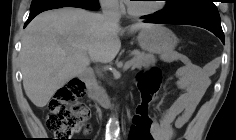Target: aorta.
Segmentation results:
<instances>
[{"instance_id": "aorta-1", "label": "aorta", "mask_w": 236, "mask_h": 140, "mask_svg": "<svg viewBox=\"0 0 236 140\" xmlns=\"http://www.w3.org/2000/svg\"><path fill=\"white\" fill-rule=\"evenodd\" d=\"M119 134V123L116 116H111L106 129V136L110 138H117Z\"/></svg>"}]
</instances>
